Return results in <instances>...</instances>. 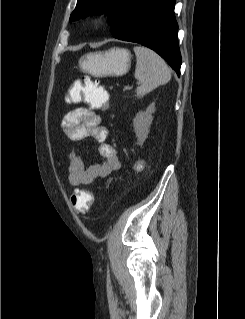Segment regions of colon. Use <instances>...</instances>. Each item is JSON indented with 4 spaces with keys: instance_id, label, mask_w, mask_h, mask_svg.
Listing matches in <instances>:
<instances>
[{
    "instance_id": "obj_1",
    "label": "colon",
    "mask_w": 245,
    "mask_h": 319,
    "mask_svg": "<svg viewBox=\"0 0 245 319\" xmlns=\"http://www.w3.org/2000/svg\"><path fill=\"white\" fill-rule=\"evenodd\" d=\"M77 99L79 102L86 103L91 109L105 110L109 104L107 91L93 81L90 77L84 78V83L77 90ZM143 165H136V170L141 171ZM72 208L79 212H86L93 203V194L87 190L75 191L70 198Z\"/></svg>"
}]
</instances>
